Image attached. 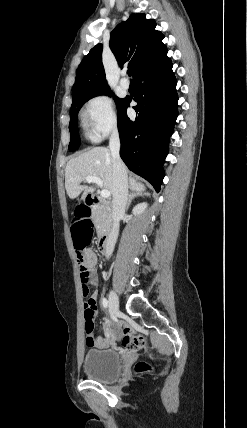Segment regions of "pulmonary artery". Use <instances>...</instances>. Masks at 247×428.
<instances>
[{"mask_svg": "<svg viewBox=\"0 0 247 428\" xmlns=\"http://www.w3.org/2000/svg\"><path fill=\"white\" fill-rule=\"evenodd\" d=\"M120 84H121L122 88H124V89H128L130 86L129 81L126 78H122L120 81Z\"/></svg>", "mask_w": 247, "mask_h": 428, "instance_id": "e3ab8cb5", "label": "pulmonary artery"}]
</instances>
